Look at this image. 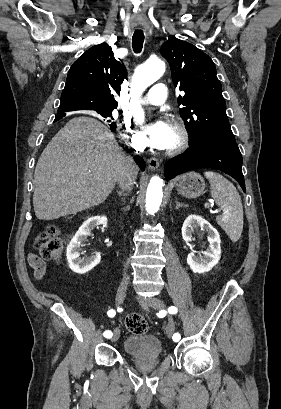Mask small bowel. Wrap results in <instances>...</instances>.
I'll list each match as a JSON object with an SVG mask.
<instances>
[{"label":"small bowel","mask_w":281,"mask_h":409,"mask_svg":"<svg viewBox=\"0 0 281 409\" xmlns=\"http://www.w3.org/2000/svg\"><path fill=\"white\" fill-rule=\"evenodd\" d=\"M26 255L28 256L29 264L33 268L34 280L40 281L41 275L43 274L44 276L46 271V265L44 260L34 254H31L30 252H28Z\"/></svg>","instance_id":"c3829d8e"}]
</instances>
